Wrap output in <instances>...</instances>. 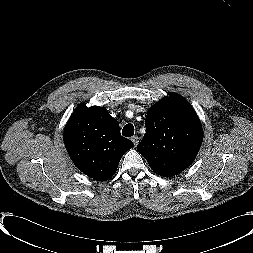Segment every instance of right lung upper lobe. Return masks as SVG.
I'll return each instance as SVG.
<instances>
[{"instance_id":"right-lung-upper-lobe-1","label":"right lung upper lobe","mask_w":253,"mask_h":253,"mask_svg":"<svg viewBox=\"0 0 253 253\" xmlns=\"http://www.w3.org/2000/svg\"><path fill=\"white\" fill-rule=\"evenodd\" d=\"M63 138L73 163L97 181L113 176L123 154L134 146L121 136L118 121L105 107L86 104L75 109Z\"/></svg>"}]
</instances>
